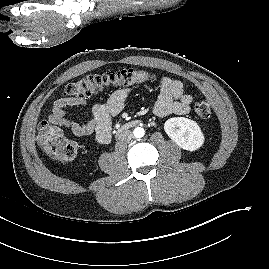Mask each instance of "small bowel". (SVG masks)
I'll return each instance as SVG.
<instances>
[{
    "instance_id": "c3829d8e",
    "label": "small bowel",
    "mask_w": 269,
    "mask_h": 269,
    "mask_svg": "<svg viewBox=\"0 0 269 269\" xmlns=\"http://www.w3.org/2000/svg\"><path fill=\"white\" fill-rule=\"evenodd\" d=\"M129 93L130 89L127 87L117 89L105 103L93 106L91 119L84 123L69 120L66 108L85 106L86 101L78 98H59L53 104L49 121L56 126L69 129L75 136L95 135L98 142L108 143L111 138L112 117L124 109ZM192 101V96L185 92L181 81L163 76L160 78V93L153 112L158 117L170 114L186 115L190 112Z\"/></svg>"
}]
</instances>
